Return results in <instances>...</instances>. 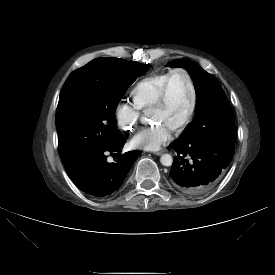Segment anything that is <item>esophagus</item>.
<instances>
[{
    "mask_svg": "<svg viewBox=\"0 0 275 275\" xmlns=\"http://www.w3.org/2000/svg\"><path fill=\"white\" fill-rule=\"evenodd\" d=\"M165 152H166V150H161V151L155 152L154 154L157 155V156H160Z\"/></svg>",
    "mask_w": 275,
    "mask_h": 275,
    "instance_id": "1",
    "label": "esophagus"
}]
</instances>
